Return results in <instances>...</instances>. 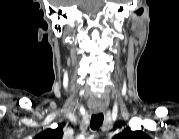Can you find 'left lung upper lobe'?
<instances>
[{
    "instance_id": "5c2ea615",
    "label": "left lung upper lobe",
    "mask_w": 179,
    "mask_h": 139,
    "mask_svg": "<svg viewBox=\"0 0 179 139\" xmlns=\"http://www.w3.org/2000/svg\"><path fill=\"white\" fill-rule=\"evenodd\" d=\"M144 136H146V135L141 131L133 132L130 130V128H127L122 133L118 134L116 136V139H141Z\"/></svg>"
}]
</instances>
